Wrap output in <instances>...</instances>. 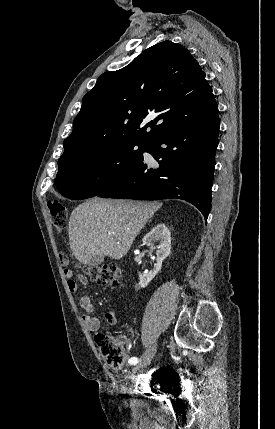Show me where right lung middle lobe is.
<instances>
[{
  "label": "right lung middle lobe",
  "instance_id": "1",
  "mask_svg": "<svg viewBox=\"0 0 275 429\" xmlns=\"http://www.w3.org/2000/svg\"><path fill=\"white\" fill-rule=\"evenodd\" d=\"M146 147L147 143L122 142L85 153L58 167L55 185L73 200L96 196L135 168Z\"/></svg>",
  "mask_w": 275,
  "mask_h": 429
}]
</instances>
